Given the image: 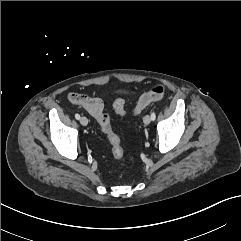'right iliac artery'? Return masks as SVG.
Wrapping results in <instances>:
<instances>
[{"instance_id": "1", "label": "right iliac artery", "mask_w": 241, "mask_h": 241, "mask_svg": "<svg viewBox=\"0 0 241 241\" xmlns=\"http://www.w3.org/2000/svg\"><path fill=\"white\" fill-rule=\"evenodd\" d=\"M75 118H76L77 120H79V119H80V115H79V114H75Z\"/></svg>"}]
</instances>
